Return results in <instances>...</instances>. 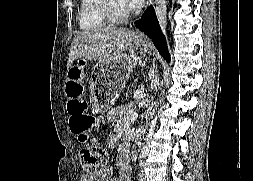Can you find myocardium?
I'll return each mask as SVG.
<instances>
[{
    "instance_id": "myocardium-1",
    "label": "myocardium",
    "mask_w": 253,
    "mask_h": 181,
    "mask_svg": "<svg viewBox=\"0 0 253 181\" xmlns=\"http://www.w3.org/2000/svg\"><path fill=\"white\" fill-rule=\"evenodd\" d=\"M100 12L103 17L111 24H120L125 22L131 15L130 11L125 13L116 12L113 0H100Z\"/></svg>"
}]
</instances>
